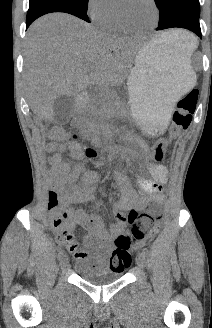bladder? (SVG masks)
Listing matches in <instances>:
<instances>
[{
	"mask_svg": "<svg viewBox=\"0 0 212 328\" xmlns=\"http://www.w3.org/2000/svg\"><path fill=\"white\" fill-rule=\"evenodd\" d=\"M76 274L92 285H106L118 281L124 274L123 270H102L93 260H80L74 266Z\"/></svg>",
	"mask_w": 212,
	"mask_h": 328,
	"instance_id": "1",
	"label": "bladder"
}]
</instances>
